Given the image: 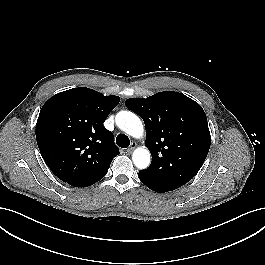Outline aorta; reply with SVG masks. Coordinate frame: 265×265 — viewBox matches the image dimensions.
<instances>
[{
	"label": "aorta",
	"mask_w": 265,
	"mask_h": 265,
	"mask_svg": "<svg viewBox=\"0 0 265 265\" xmlns=\"http://www.w3.org/2000/svg\"><path fill=\"white\" fill-rule=\"evenodd\" d=\"M117 126L134 138H141L144 134V127L140 118L130 111H121L115 117ZM134 165L139 169H145L150 164V152L146 148H137L132 154Z\"/></svg>",
	"instance_id": "1"
}]
</instances>
